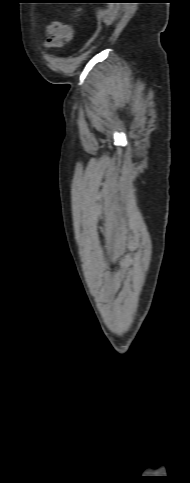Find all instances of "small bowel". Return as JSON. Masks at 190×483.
I'll list each match as a JSON object with an SVG mask.
<instances>
[{"label": "small bowel", "instance_id": "obj_1", "mask_svg": "<svg viewBox=\"0 0 190 483\" xmlns=\"http://www.w3.org/2000/svg\"><path fill=\"white\" fill-rule=\"evenodd\" d=\"M44 45L47 48L60 47L71 38V30L68 26L51 22L45 29Z\"/></svg>", "mask_w": 190, "mask_h": 483}]
</instances>
